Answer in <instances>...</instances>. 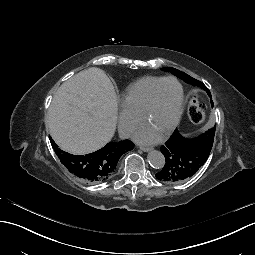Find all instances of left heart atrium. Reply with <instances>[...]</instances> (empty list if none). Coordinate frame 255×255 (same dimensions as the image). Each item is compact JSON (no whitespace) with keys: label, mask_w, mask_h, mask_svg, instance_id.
Here are the masks:
<instances>
[{"label":"left heart atrium","mask_w":255,"mask_h":255,"mask_svg":"<svg viewBox=\"0 0 255 255\" xmlns=\"http://www.w3.org/2000/svg\"><path fill=\"white\" fill-rule=\"evenodd\" d=\"M160 136L146 128H142L137 133V139L143 142H155Z\"/></svg>","instance_id":"1"}]
</instances>
